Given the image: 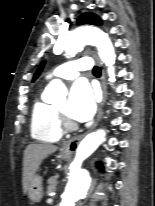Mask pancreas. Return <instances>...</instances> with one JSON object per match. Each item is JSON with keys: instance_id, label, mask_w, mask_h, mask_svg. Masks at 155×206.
<instances>
[{"instance_id": "obj_1", "label": "pancreas", "mask_w": 155, "mask_h": 206, "mask_svg": "<svg viewBox=\"0 0 155 206\" xmlns=\"http://www.w3.org/2000/svg\"><path fill=\"white\" fill-rule=\"evenodd\" d=\"M57 178L58 176H52L48 179V193L53 192L54 190H56V186H57Z\"/></svg>"}]
</instances>
